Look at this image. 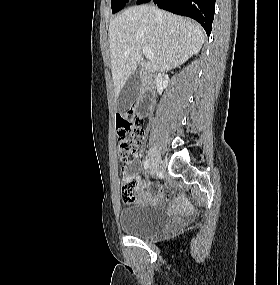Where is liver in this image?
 <instances>
[{
  "mask_svg": "<svg viewBox=\"0 0 280 285\" xmlns=\"http://www.w3.org/2000/svg\"><path fill=\"white\" fill-rule=\"evenodd\" d=\"M204 39V30L190 19L150 5L125 10L109 24L115 98L138 65L145 75L167 72L197 54ZM144 46L150 48L154 58L140 63Z\"/></svg>",
  "mask_w": 280,
  "mask_h": 285,
  "instance_id": "obj_1",
  "label": "liver"
}]
</instances>
